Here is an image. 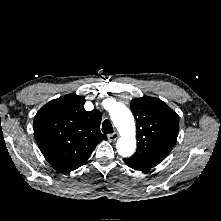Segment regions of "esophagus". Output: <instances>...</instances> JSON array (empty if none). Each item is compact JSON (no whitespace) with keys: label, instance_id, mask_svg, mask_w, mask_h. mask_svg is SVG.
<instances>
[{"label":"esophagus","instance_id":"34e87169","mask_svg":"<svg viewBox=\"0 0 221 221\" xmlns=\"http://www.w3.org/2000/svg\"><path fill=\"white\" fill-rule=\"evenodd\" d=\"M118 137H119V134L117 132H114L108 135V140L109 142H114L118 139Z\"/></svg>","mask_w":221,"mask_h":221}]
</instances>
